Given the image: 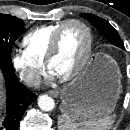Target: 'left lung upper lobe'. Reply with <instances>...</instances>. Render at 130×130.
<instances>
[{"label": "left lung upper lobe", "instance_id": "5c2ea615", "mask_svg": "<svg viewBox=\"0 0 130 130\" xmlns=\"http://www.w3.org/2000/svg\"><path fill=\"white\" fill-rule=\"evenodd\" d=\"M81 16L88 19L113 45L125 49L118 32L107 21L93 14H81Z\"/></svg>", "mask_w": 130, "mask_h": 130}]
</instances>
